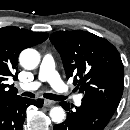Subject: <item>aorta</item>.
<instances>
[{
    "label": "aorta",
    "instance_id": "aorta-1",
    "mask_svg": "<svg viewBox=\"0 0 130 130\" xmlns=\"http://www.w3.org/2000/svg\"><path fill=\"white\" fill-rule=\"evenodd\" d=\"M21 66L27 70H32L40 63V54L35 49H25L19 56ZM50 117L55 123H62L65 119V111L62 107H53L50 110Z\"/></svg>",
    "mask_w": 130,
    "mask_h": 130
}]
</instances>
